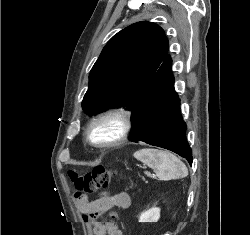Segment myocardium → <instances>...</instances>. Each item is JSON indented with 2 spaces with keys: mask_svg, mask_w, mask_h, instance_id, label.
<instances>
[{
  "mask_svg": "<svg viewBox=\"0 0 250 235\" xmlns=\"http://www.w3.org/2000/svg\"><path fill=\"white\" fill-rule=\"evenodd\" d=\"M108 120L117 123L118 132L116 136L105 141L95 140L92 136L93 130L99 123ZM132 129L133 118L131 112L123 107H110L92 117L85 131V139L90 146L96 149H110L124 143L128 139Z\"/></svg>",
  "mask_w": 250,
  "mask_h": 235,
  "instance_id": "1",
  "label": "myocardium"
}]
</instances>
